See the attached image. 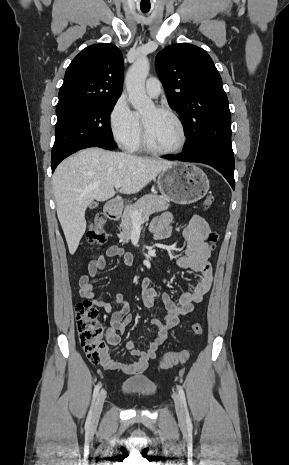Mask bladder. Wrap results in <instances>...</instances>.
Segmentation results:
<instances>
[{
  "instance_id": "obj_1",
  "label": "bladder",
  "mask_w": 289,
  "mask_h": 465,
  "mask_svg": "<svg viewBox=\"0 0 289 465\" xmlns=\"http://www.w3.org/2000/svg\"><path fill=\"white\" fill-rule=\"evenodd\" d=\"M120 391L125 397L149 398L157 393V386L146 378H132L122 383Z\"/></svg>"
}]
</instances>
